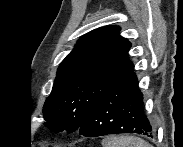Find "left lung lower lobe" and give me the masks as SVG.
Instances as JSON below:
<instances>
[{
    "label": "left lung lower lobe",
    "instance_id": "left-lung-lower-lobe-1",
    "mask_svg": "<svg viewBox=\"0 0 183 147\" xmlns=\"http://www.w3.org/2000/svg\"><path fill=\"white\" fill-rule=\"evenodd\" d=\"M78 132L86 137L117 133L153 136L154 128L144 113L143 95L133 69L100 97Z\"/></svg>",
    "mask_w": 183,
    "mask_h": 147
}]
</instances>
